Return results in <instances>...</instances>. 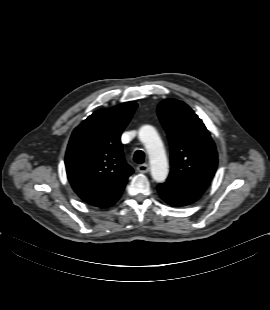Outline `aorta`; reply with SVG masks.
<instances>
[{
  "mask_svg": "<svg viewBox=\"0 0 270 310\" xmlns=\"http://www.w3.org/2000/svg\"><path fill=\"white\" fill-rule=\"evenodd\" d=\"M139 139L145 144L153 179L156 182H164L168 176V162L156 129L150 125L142 126L139 130Z\"/></svg>",
  "mask_w": 270,
  "mask_h": 310,
  "instance_id": "obj_1",
  "label": "aorta"
}]
</instances>
